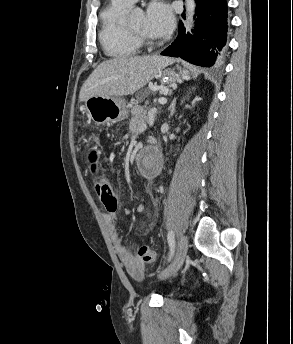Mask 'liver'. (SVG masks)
<instances>
[{
    "label": "liver",
    "instance_id": "1",
    "mask_svg": "<svg viewBox=\"0 0 293 344\" xmlns=\"http://www.w3.org/2000/svg\"><path fill=\"white\" fill-rule=\"evenodd\" d=\"M173 60L160 55L122 56L100 63L85 81L79 100L132 95Z\"/></svg>",
    "mask_w": 293,
    "mask_h": 344
}]
</instances>
